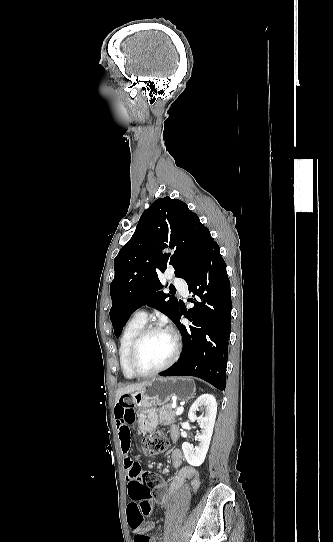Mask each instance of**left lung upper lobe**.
Here are the masks:
<instances>
[{
	"mask_svg": "<svg viewBox=\"0 0 333 542\" xmlns=\"http://www.w3.org/2000/svg\"><path fill=\"white\" fill-rule=\"evenodd\" d=\"M211 238L208 228L183 201L164 197L153 202L114 259L110 319L117 338L130 315L146 304L176 323L180 304L174 296L161 291L158 273L173 266L176 277L188 278L198 267ZM168 245L176 247L172 256L161 253Z\"/></svg>",
	"mask_w": 333,
	"mask_h": 542,
	"instance_id": "left-lung-upper-lobe-1",
	"label": "left lung upper lobe"
}]
</instances>
